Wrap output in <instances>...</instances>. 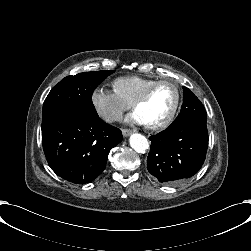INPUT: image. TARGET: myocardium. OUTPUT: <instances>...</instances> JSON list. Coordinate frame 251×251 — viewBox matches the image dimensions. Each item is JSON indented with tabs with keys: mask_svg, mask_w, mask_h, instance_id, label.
Returning a JSON list of instances; mask_svg holds the SVG:
<instances>
[{
	"mask_svg": "<svg viewBox=\"0 0 251 251\" xmlns=\"http://www.w3.org/2000/svg\"><path fill=\"white\" fill-rule=\"evenodd\" d=\"M163 83H171L175 86L177 91V100L176 103L170 112V114L167 116L165 120L162 122L156 123V124H145L144 126L146 129L150 131H157L167 128L174 120L175 116L177 115L181 104L183 100V89L179 82L170 80V79H158L155 80L153 83H151L149 86L146 87V89L143 91V93L138 97V99L133 104V109L137 111V109L142 106L144 103L147 102V100L150 98L152 92L161 84Z\"/></svg>",
	"mask_w": 251,
	"mask_h": 251,
	"instance_id": "1",
	"label": "myocardium"
}]
</instances>
